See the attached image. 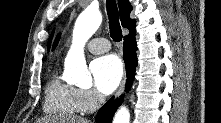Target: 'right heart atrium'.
Instances as JSON below:
<instances>
[{"instance_id": "d8ad5b80", "label": "right heart atrium", "mask_w": 221, "mask_h": 123, "mask_svg": "<svg viewBox=\"0 0 221 123\" xmlns=\"http://www.w3.org/2000/svg\"><path fill=\"white\" fill-rule=\"evenodd\" d=\"M78 102L82 113L93 111L101 102V96L92 89H78Z\"/></svg>"}]
</instances>
